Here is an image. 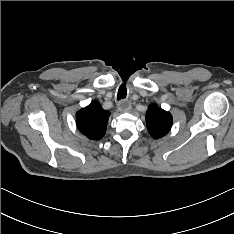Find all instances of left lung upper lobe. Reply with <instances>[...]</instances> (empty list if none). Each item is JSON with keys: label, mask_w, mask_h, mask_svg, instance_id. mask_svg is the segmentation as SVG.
Masks as SVG:
<instances>
[{"label": "left lung upper lobe", "mask_w": 234, "mask_h": 234, "mask_svg": "<svg viewBox=\"0 0 234 234\" xmlns=\"http://www.w3.org/2000/svg\"><path fill=\"white\" fill-rule=\"evenodd\" d=\"M146 122L150 135L159 139L171 129L172 116L156 104H151L146 113Z\"/></svg>", "instance_id": "left-lung-upper-lobe-1"}]
</instances>
